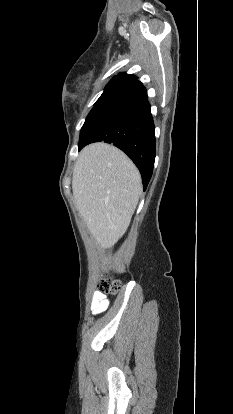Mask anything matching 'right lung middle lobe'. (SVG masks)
I'll return each mask as SVG.
<instances>
[{"label": "right lung middle lobe", "mask_w": 233, "mask_h": 414, "mask_svg": "<svg viewBox=\"0 0 233 414\" xmlns=\"http://www.w3.org/2000/svg\"><path fill=\"white\" fill-rule=\"evenodd\" d=\"M134 84L131 80H126L120 77H114L106 86L103 94L96 101L95 106L105 99L115 96L127 89H129Z\"/></svg>", "instance_id": "1"}]
</instances>
